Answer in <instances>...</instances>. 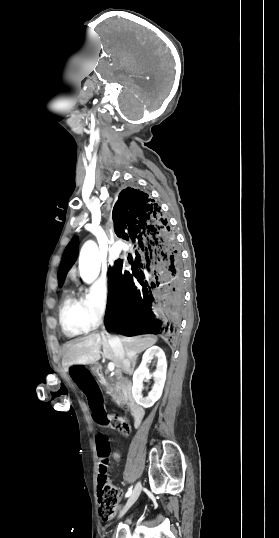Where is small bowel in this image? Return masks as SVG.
<instances>
[{
    "label": "small bowel",
    "instance_id": "obj_1",
    "mask_svg": "<svg viewBox=\"0 0 279 538\" xmlns=\"http://www.w3.org/2000/svg\"><path fill=\"white\" fill-rule=\"evenodd\" d=\"M111 456L115 461H118L120 459V453L117 450H112Z\"/></svg>",
    "mask_w": 279,
    "mask_h": 538
}]
</instances>
